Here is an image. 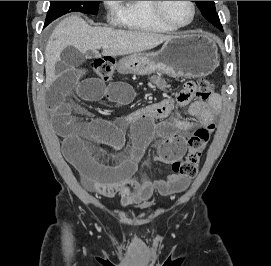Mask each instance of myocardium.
<instances>
[{
  "label": "myocardium",
  "mask_w": 271,
  "mask_h": 266,
  "mask_svg": "<svg viewBox=\"0 0 271 266\" xmlns=\"http://www.w3.org/2000/svg\"><path fill=\"white\" fill-rule=\"evenodd\" d=\"M151 2V8L153 10L154 15L165 25L170 27L173 30H180V29H185L191 26L196 18L197 14V7L196 3L194 1H189L191 7H192V16L191 19L188 23L184 25H178L173 23L164 13L163 10V1H150Z\"/></svg>",
  "instance_id": "obj_1"
}]
</instances>
